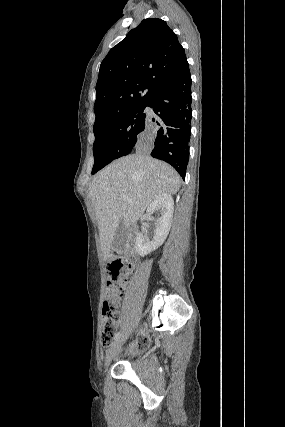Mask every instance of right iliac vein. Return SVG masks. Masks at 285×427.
Returning a JSON list of instances; mask_svg holds the SVG:
<instances>
[{
	"label": "right iliac vein",
	"instance_id": "1",
	"mask_svg": "<svg viewBox=\"0 0 285 427\" xmlns=\"http://www.w3.org/2000/svg\"><path fill=\"white\" fill-rule=\"evenodd\" d=\"M126 335L125 336H121L117 341H115L110 349L108 350V352L106 353V357H105V367H108L113 356L116 354V352L121 348V346L123 345L125 339H126Z\"/></svg>",
	"mask_w": 285,
	"mask_h": 427
}]
</instances>
